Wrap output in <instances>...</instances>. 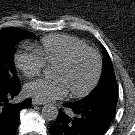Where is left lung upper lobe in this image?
Listing matches in <instances>:
<instances>
[{
    "mask_svg": "<svg viewBox=\"0 0 135 135\" xmlns=\"http://www.w3.org/2000/svg\"><path fill=\"white\" fill-rule=\"evenodd\" d=\"M101 99H118V87L114 69L109 55L103 61V71L98 86L81 102H89Z\"/></svg>",
    "mask_w": 135,
    "mask_h": 135,
    "instance_id": "obj_1",
    "label": "left lung upper lobe"
}]
</instances>
